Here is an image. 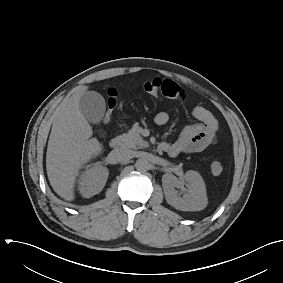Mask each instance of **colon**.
<instances>
[{"label": "colon", "mask_w": 283, "mask_h": 283, "mask_svg": "<svg viewBox=\"0 0 283 283\" xmlns=\"http://www.w3.org/2000/svg\"><path fill=\"white\" fill-rule=\"evenodd\" d=\"M144 90L146 93L157 96L160 94L162 90V79L155 78L147 81L144 84ZM116 105V91L111 89L109 90V98H108V110L111 111ZM224 170V167L221 162L214 161L211 164V171L215 175H220Z\"/></svg>", "instance_id": "1"}]
</instances>
